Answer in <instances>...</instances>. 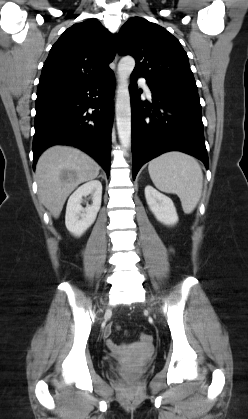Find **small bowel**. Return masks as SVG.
Instances as JSON below:
<instances>
[{"mask_svg":"<svg viewBox=\"0 0 248 419\" xmlns=\"http://www.w3.org/2000/svg\"><path fill=\"white\" fill-rule=\"evenodd\" d=\"M106 333L108 335H110V333H111V328L110 327L106 329ZM108 346L116 353H119L120 350H121L120 345L114 343L111 339L108 340Z\"/></svg>","mask_w":248,"mask_h":419,"instance_id":"1","label":"small bowel"}]
</instances>
